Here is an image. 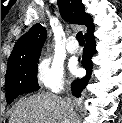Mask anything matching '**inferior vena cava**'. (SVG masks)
Here are the masks:
<instances>
[{"label": "inferior vena cava", "instance_id": "obj_1", "mask_svg": "<svg viewBox=\"0 0 122 123\" xmlns=\"http://www.w3.org/2000/svg\"><path fill=\"white\" fill-rule=\"evenodd\" d=\"M63 102H64L65 109L70 114H73L74 111H73V105H72L71 99L69 97H66V98L63 99Z\"/></svg>", "mask_w": 122, "mask_h": 123}]
</instances>
